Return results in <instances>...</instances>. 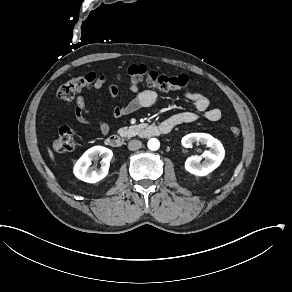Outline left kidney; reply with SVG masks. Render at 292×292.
Here are the masks:
<instances>
[{
  "mask_svg": "<svg viewBox=\"0 0 292 292\" xmlns=\"http://www.w3.org/2000/svg\"><path fill=\"white\" fill-rule=\"evenodd\" d=\"M194 142H200L210 149L204 151L202 156L194 155L187 158L185 169L194 175L205 176L221 164L225 156V150L218 139L207 133H190L181 140V144L185 148H191ZM202 157L205 160L201 163Z\"/></svg>",
  "mask_w": 292,
  "mask_h": 292,
  "instance_id": "5707ae66",
  "label": "left kidney"
}]
</instances>
